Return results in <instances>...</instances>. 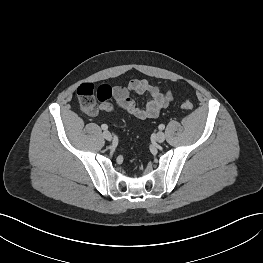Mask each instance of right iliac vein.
<instances>
[{
  "mask_svg": "<svg viewBox=\"0 0 263 263\" xmlns=\"http://www.w3.org/2000/svg\"><path fill=\"white\" fill-rule=\"evenodd\" d=\"M103 137L108 141L112 140V134L109 131H104Z\"/></svg>",
  "mask_w": 263,
  "mask_h": 263,
  "instance_id": "obj_1",
  "label": "right iliac vein"
}]
</instances>
